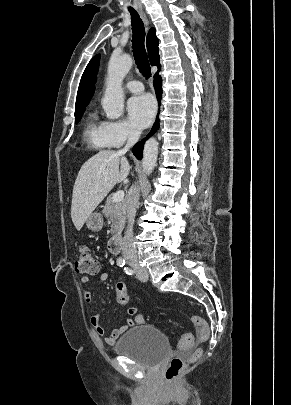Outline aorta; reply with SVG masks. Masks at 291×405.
Instances as JSON below:
<instances>
[{"mask_svg":"<svg viewBox=\"0 0 291 405\" xmlns=\"http://www.w3.org/2000/svg\"><path fill=\"white\" fill-rule=\"evenodd\" d=\"M132 67V58L128 54L112 55L108 64L106 90L102 107L109 119H118L124 111V93L122 82ZM158 142L150 138L145 142L142 166L146 175H150L157 163Z\"/></svg>","mask_w":291,"mask_h":405,"instance_id":"762f6f07","label":"aorta"}]
</instances>
